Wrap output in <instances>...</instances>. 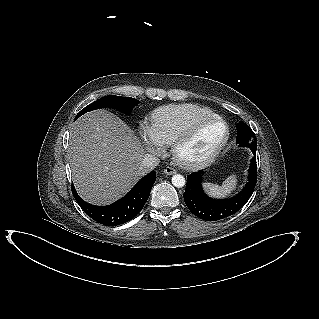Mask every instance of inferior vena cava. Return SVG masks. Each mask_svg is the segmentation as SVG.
Returning a JSON list of instances; mask_svg holds the SVG:
<instances>
[{"label":"inferior vena cava","instance_id":"1","mask_svg":"<svg viewBox=\"0 0 319 319\" xmlns=\"http://www.w3.org/2000/svg\"><path fill=\"white\" fill-rule=\"evenodd\" d=\"M160 160L158 157L152 155V154H145L141 164H140V171H142L143 173L148 172L150 170H153L156 166H158Z\"/></svg>","mask_w":319,"mask_h":319}]
</instances>
